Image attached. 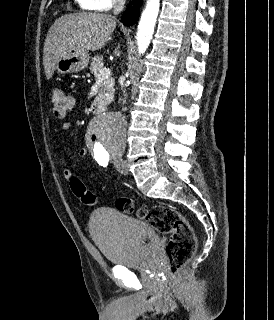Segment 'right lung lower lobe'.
I'll return each instance as SVG.
<instances>
[{"label": "right lung lower lobe", "mask_w": 274, "mask_h": 320, "mask_svg": "<svg viewBox=\"0 0 274 320\" xmlns=\"http://www.w3.org/2000/svg\"><path fill=\"white\" fill-rule=\"evenodd\" d=\"M141 5L140 0H132V4H130L125 10L124 14L121 17V20L124 25H132L138 19L139 16V7Z\"/></svg>", "instance_id": "1"}]
</instances>
